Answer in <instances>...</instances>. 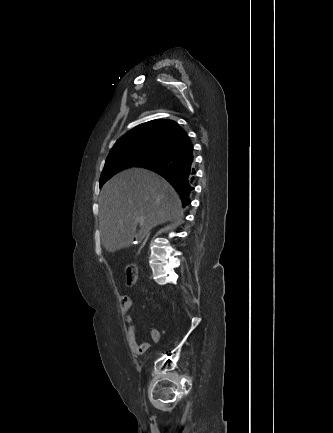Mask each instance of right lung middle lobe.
<instances>
[{
  "label": "right lung middle lobe",
  "mask_w": 333,
  "mask_h": 433,
  "mask_svg": "<svg viewBox=\"0 0 333 433\" xmlns=\"http://www.w3.org/2000/svg\"><path fill=\"white\" fill-rule=\"evenodd\" d=\"M170 153L162 148L120 147L110 151L100 177V187L114 174L132 166H148L158 162Z\"/></svg>",
  "instance_id": "dd1d6c3e"
}]
</instances>
